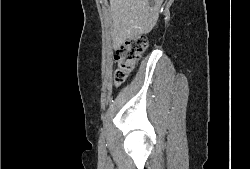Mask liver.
Segmentation results:
<instances>
[{
	"label": "liver",
	"mask_w": 250,
	"mask_h": 169,
	"mask_svg": "<svg viewBox=\"0 0 250 169\" xmlns=\"http://www.w3.org/2000/svg\"><path fill=\"white\" fill-rule=\"evenodd\" d=\"M163 0H110L112 40L118 48L126 38L147 34L159 18Z\"/></svg>",
	"instance_id": "1"
}]
</instances>
